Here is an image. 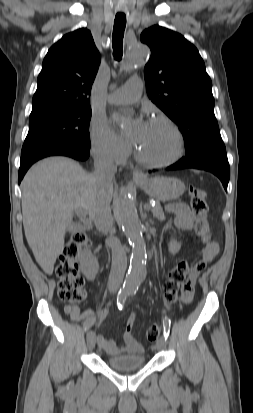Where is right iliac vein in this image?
Instances as JSON below:
<instances>
[{"instance_id": "1", "label": "right iliac vein", "mask_w": 253, "mask_h": 413, "mask_svg": "<svg viewBox=\"0 0 253 413\" xmlns=\"http://www.w3.org/2000/svg\"><path fill=\"white\" fill-rule=\"evenodd\" d=\"M96 343V335L93 331H89L87 333V345L90 350H92L95 347Z\"/></svg>"}]
</instances>
